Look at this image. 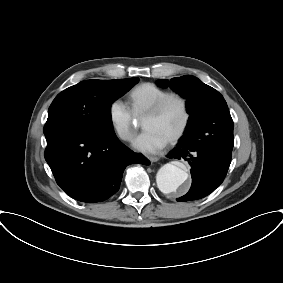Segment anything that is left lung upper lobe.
Returning a JSON list of instances; mask_svg holds the SVG:
<instances>
[{
  "mask_svg": "<svg viewBox=\"0 0 283 283\" xmlns=\"http://www.w3.org/2000/svg\"><path fill=\"white\" fill-rule=\"evenodd\" d=\"M162 87L170 86L187 99L190 114L186 128L198 125L201 140L209 147L229 150L233 148V120L223 96L198 78L185 75L170 81L157 82Z\"/></svg>",
  "mask_w": 283,
  "mask_h": 283,
  "instance_id": "obj_1",
  "label": "left lung upper lobe"
}]
</instances>
